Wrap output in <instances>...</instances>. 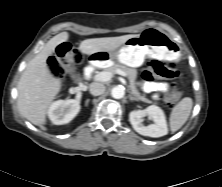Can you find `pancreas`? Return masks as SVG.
I'll use <instances>...</instances> for the list:
<instances>
[{
  "label": "pancreas",
  "instance_id": "obj_1",
  "mask_svg": "<svg viewBox=\"0 0 222 187\" xmlns=\"http://www.w3.org/2000/svg\"><path fill=\"white\" fill-rule=\"evenodd\" d=\"M117 70H122L126 73V76L128 77L129 82H130V88H131L132 94L138 100H141L146 103H152V101H150L147 98H145L144 96H142L140 94V92L138 91V89L136 88V85H135V80L137 77V70L136 69L129 68V67H126L121 64H114L106 69L107 72H110L112 74H115Z\"/></svg>",
  "mask_w": 222,
  "mask_h": 187
}]
</instances>
